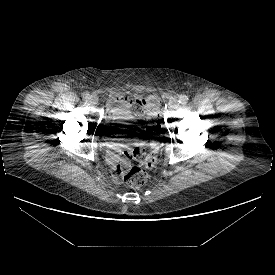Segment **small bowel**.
I'll list each match as a JSON object with an SVG mask.
<instances>
[{"mask_svg":"<svg viewBox=\"0 0 275 275\" xmlns=\"http://www.w3.org/2000/svg\"><path fill=\"white\" fill-rule=\"evenodd\" d=\"M138 99L137 97L129 96V95H122V94H111L109 98V112L110 113H119L124 114L126 116L131 115V111L134 108L135 100ZM115 104H118L117 107H114ZM110 149L112 152L108 155V161L111 166L113 173L116 176H119L123 173L128 167V159L131 157L120 158L119 155L116 153L121 150V148L126 147L125 144L120 142H112L109 144ZM129 151V150H127ZM125 151V152H127ZM121 164V166H120Z\"/></svg>","mask_w":275,"mask_h":275,"instance_id":"c3829d8e","label":"small bowel"}]
</instances>
